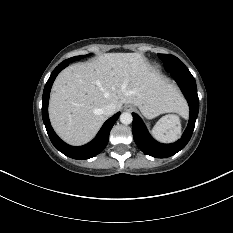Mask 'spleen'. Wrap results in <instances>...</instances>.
<instances>
[{"instance_id":"spleen-1","label":"spleen","mask_w":233,"mask_h":233,"mask_svg":"<svg viewBox=\"0 0 233 233\" xmlns=\"http://www.w3.org/2000/svg\"><path fill=\"white\" fill-rule=\"evenodd\" d=\"M152 135L160 142L170 143L181 135V121L178 115L162 117L152 129Z\"/></svg>"}]
</instances>
